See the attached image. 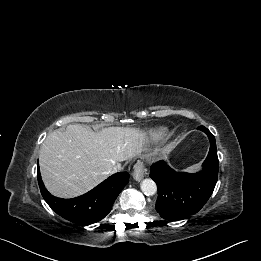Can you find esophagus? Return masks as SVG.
<instances>
[{
	"instance_id": "1",
	"label": "esophagus",
	"mask_w": 261,
	"mask_h": 261,
	"mask_svg": "<svg viewBox=\"0 0 261 261\" xmlns=\"http://www.w3.org/2000/svg\"><path fill=\"white\" fill-rule=\"evenodd\" d=\"M145 173H146V168L144 167L141 161H137L136 164L134 165V170L132 173L133 178L136 181H140L144 178Z\"/></svg>"
}]
</instances>
